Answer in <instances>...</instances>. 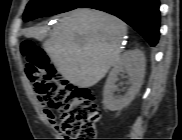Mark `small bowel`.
I'll use <instances>...</instances> for the list:
<instances>
[{"instance_id":"1","label":"small bowel","mask_w":182,"mask_h":140,"mask_svg":"<svg viewBox=\"0 0 182 140\" xmlns=\"http://www.w3.org/2000/svg\"><path fill=\"white\" fill-rule=\"evenodd\" d=\"M43 115L52 126H57L56 116L50 108H44Z\"/></svg>"}]
</instances>
